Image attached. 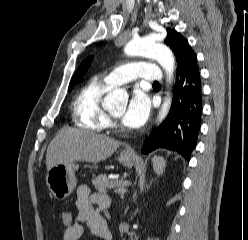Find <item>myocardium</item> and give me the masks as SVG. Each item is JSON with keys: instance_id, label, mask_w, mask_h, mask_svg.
Masks as SVG:
<instances>
[{"instance_id": "myocardium-1", "label": "myocardium", "mask_w": 248, "mask_h": 240, "mask_svg": "<svg viewBox=\"0 0 248 240\" xmlns=\"http://www.w3.org/2000/svg\"><path fill=\"white\" fill-rule=\"evenodd\" d=\"M110 116H111V118H112V120H113L114 122L117 121V117H116V116H114L113 114H111Z\"/></svg>"}]
</instances>
